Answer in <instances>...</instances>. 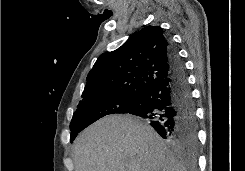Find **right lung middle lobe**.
<instances>
[{"label":"right lung middle lobe","instance_id":"1","mask_svg":"<svg viewBox=\"0 0 245 171\" xmlns=\"http://www.w3.org/2000/svg\"><path fill=\"white\" fill-rule=\"evenodd\" d=\"M140 102V96H113L98 100L80 101L70 123L73 142L84 128L109 114L128 113Z\"/></svg>","mask_w":245,"mask_h":171}]
</instances>
